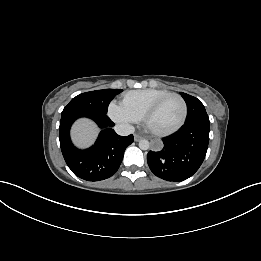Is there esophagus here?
I'll use <instances>...</instances> for the list:
<instances>
[{"label":"esophagus","mask_w":261,"mask_h":261,"mask_svg":"<svg viewBox=\"0 0 261 261\" xmlns=\"http://www.w3.org/2000/svg\"><path fill=\"white\" fill-rule=\"evenodd\" d=\"M141 139H142V137H141L140 135H138V134H135V135H134V140H135L136 142L140 141Z\"/></svg>","instance_id":"esophagus-1"}]
</instances>
